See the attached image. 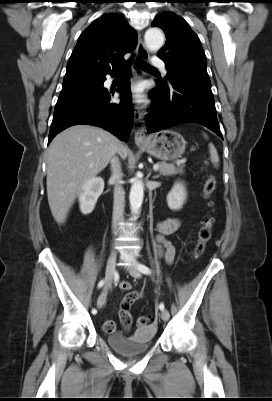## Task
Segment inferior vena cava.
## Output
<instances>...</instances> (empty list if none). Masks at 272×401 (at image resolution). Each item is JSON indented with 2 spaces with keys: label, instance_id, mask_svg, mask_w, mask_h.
<instances>
[{
  "label": "inferior vena cava",
  "instance_id": "602c4592",
  "mask_svg": "<svg viewBox=\"0 0 272 401\" xmlns=\"http://www.w3.org/2000/svg\"><path fill=\"white\" fill-rule=\"evenodd\" d=\"M111 180L114 182V202H113V216L112 226L115 233L118 230V224L123 219L124 207H125V192L121 186L122 171L119 159L115 156V153L111 157Z\"/></svg>",
  "mask_w": 272,
  "mask_h": 401
}]
</instances>
